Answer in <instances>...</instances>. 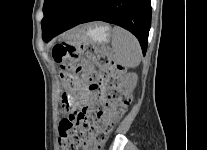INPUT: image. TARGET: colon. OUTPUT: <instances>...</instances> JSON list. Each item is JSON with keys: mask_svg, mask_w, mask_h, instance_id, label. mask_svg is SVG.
<instances>
[{"mask_svg": "<svg viewBox=\"0 0 207 150\" xmlns=\"http://www.w3.org/2000/svg\"><path fill=\"white\" fill-rule=\"evenodd\" d=\"M52 57L60 66L63 77L60 96H64V99H61L62 107L60 109L62 111H59L58 115L66 116L68 107H75L60 122L62 150H78L85 143L87 133H89L94 148H100L114 124L113 117L122 115L130 103V97L124 93L121 81L123 68L111 61L104 51L91 43H83L78 46L55 45L52 49ZM84 59L93 61L107 73L108 91L105 93L106 103L103 110H98L89 105L77 104L75 106V99H67V96H71V87L76 86V80L70 75L80 72H85L86 78L90 82L89 89L101 94L102 88L96 82V74L93 71L86 70L81 64ZM64 109L66 111H63Z\"/></svg>", "mask_w": 207, "mask_h": 150, "instance_id": "5ec220e1", "label": "colon"}]
</instances>
